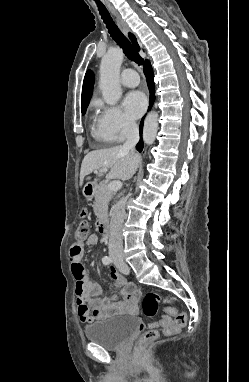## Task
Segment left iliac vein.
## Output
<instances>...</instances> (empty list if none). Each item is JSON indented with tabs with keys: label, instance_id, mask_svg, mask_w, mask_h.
<instances>
[{
	"label": "left iliac vein",
	"instance_id": "obj_1",
	"mask_svg": "<svg viewBox=\"0 0 249 382\" xmlns=\"http://www.w3.org/2000/svg\"><path fill=\"white\" fill-rule=\"evenodd\" d=\"M114 264L116 268L122 272L123 274H129V267L127 264L123 261V259H120L118 261H114Z\"/></svg>",
	"mask_w": 249,
	"mask_h": 382
}]
</instances>
